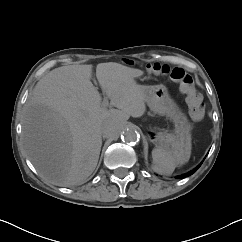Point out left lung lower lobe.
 Listing matches in <instances>:
<instances>
[{
	"instance_id": "obj_1",
	"label": "left lung lower lobe",
	"mask_w": 242,
	"mask_h": 242,
	"mask_svg": "<svg viewBox=\"0 0 242 242\" xmlns=\"http://www.w3.org/2000/svg\"><path fill=\"white\" fill-rule=\"evenodd\" d=\"M201 165V164H200ZM200 165L195 169V170H193L192 172H190V173H188V174H185V175H183L181 178H185V177H187V176H189V175H191V174H193L199 167H200Z\"/></svg>"
}]
</instances>
